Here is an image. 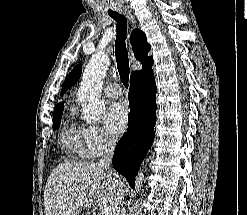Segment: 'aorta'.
<instances>
[{"instance_id":"762f6f07","label":"aorta","mask_w":247,"mask_h":215,"mask_svg":"<svg viewBox=\"0 0 247 215\" xmlns=\"http://www.w3.org/2000/svg\"><path fill=\"white\" fill-rule=\"evenodd\" d=\"M110 65L108 56L102 53L94 54L87 64L82 81L78 90V100L82 106V117L88 124H94L99 121L104 106L101 102V91L103 79ZM144 174L139 171L135 188L137 192L142 190Z\"/></svg>"}]
</instances>
